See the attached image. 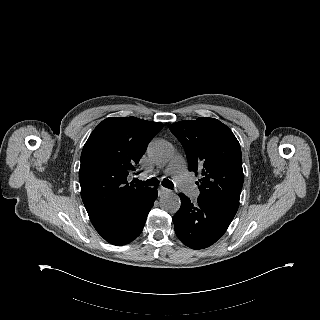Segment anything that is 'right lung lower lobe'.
<instances>
[{"instance_id": "1", "label": "right lung lower lobe", "mask_w": 320, "mask_h": 320, "mask_svg": "<svg viewBox=\"0 0 320 320\" xmlns=\"http://www.w3.org/2000/svg\"><path fill=\"white\" fill-rule=\"evenodd\" d=\"M157 190L149 188L126 207L108 215L91 219L97 232L113 245L133 241L143 230L146 218L157 198Z\"/></svg>"}]
</instances>
